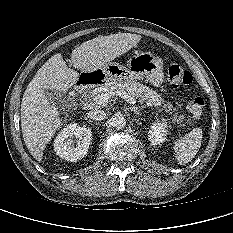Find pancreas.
<instances>
[{
    "instance_id": "cf45deb5",
    "label": "pancreas",
    "mask_w": 233,
    "mask_h": 233,
    "mask_svg": "<svg viewBox=\"0 0 233 233\" xmlns=\"http://www.w3.org/2000/svg\"><path fill=\"white\" fill-rule=\"evenodd\" d=\"M112 90L127 91L133 97L139 99L141 103H146L147 106H162L166 113H173V122L178 124L182 123L184 116L178 115L176 109L171 104H164V100L154 90L150 89L143 84L134 80L128 81H107L103 85H100L97 89L90 92V97L94 98L101 93L109 92Z\"/></svg>"
}]
</instances>
